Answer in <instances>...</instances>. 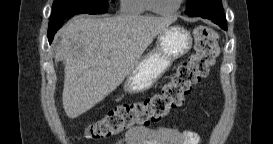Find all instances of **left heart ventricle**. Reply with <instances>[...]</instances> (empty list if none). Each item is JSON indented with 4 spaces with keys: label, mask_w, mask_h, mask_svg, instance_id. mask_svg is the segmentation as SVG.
Returning a JSON list of instances; mask_svg holds the SVG:
<instances>
[{
    "label": "left heart ventricle",
    "mask_w": 273,
    "mask_h": 144,
    "mask_svg": "<svg viewBox=\"0 0 273 144\" xmlns=\"http://www.w3.org/2000/svg\"><path fill=\"white\" fill-rule=\"evenodd\" d=\"M178 0H157L156 5L161 10H168L177 5Z\"/></svg>",
    "instance_id": "obj_1"
}]
</instances>
